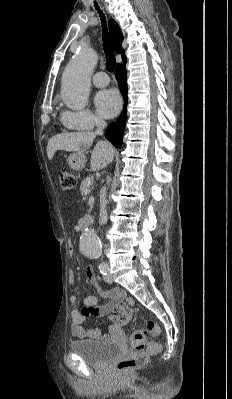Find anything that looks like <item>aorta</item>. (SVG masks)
Wrapping results in <instances>:
<instances>
[{
  "label": "aorta",
  "instance_id": "obj_1",
  "mask_svg": "<svg viewBox=\"0 0 232 399\" xmlns=\"http://www.w3.org/2000/svg\"><path fill=\"white\" fill-rule=\"evenodd\" d=\"M96 53L83 47L67 64L61 82V98L72 110L83 109L90 94V80L97 64ZM79 249L88 257H97L102 252L101 242L92 229H87L80 237Z\"/></svg>",
  "mask_w": 232,
  "mask_h": 399
}]
</instances>
